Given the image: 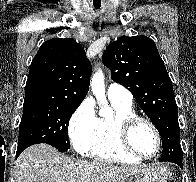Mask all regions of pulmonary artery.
<instances>
[{"label":"pulmonary artery","instance_id":"obj_1","mask_svg":"<svg viewBox=\"0 0 196 182\" xmlns=\"http://www.w3.org/2000/svg\"><path fill=\"white\" fill-rule=\"evenodd\" d=\"M107 96L109 100L132 104V94L125 87L117 83H111L108 86Z\"/></svg>","mask_w":196,"mask_h":182}]
</instances>
